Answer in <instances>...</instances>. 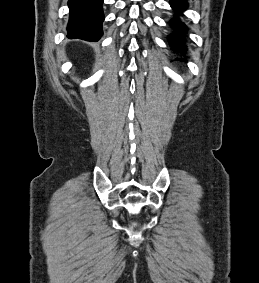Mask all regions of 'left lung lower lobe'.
<instances>
[{
    "label": "left lung lower lobe",
    "instance_id": "left-lung-lower-lobe-1",
    "mask_svg": "<svg viewBox=\"0 0 259 283\" xmlns=\"http://www.w3.org/2000/svg\"><path fill=\"white\" fill-rule=\"evenodd\" d=\"M170 4L176 10L177 15H180L188 6L186 0H171ZM171 24L174 32L168 36L169 43L173 50L184 53L186 50L184 34L187 32V27L178 19H173Z\"/></svg>",
    "mask_w": 259,
    "mask_h": 283
}]
</instances>
